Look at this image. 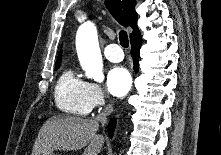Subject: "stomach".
<instances>
[{"mask_svg": "<svg viewBox=\"0 0 221 155\" xmlns=\"http://www.w3.org/2000/svg\"><path fill=\"white\" fill-rule=\"evenodd\" d=\"M50 155H58V154L51 153Z\"/></svg>", "mask_w": 221, "mask_h": 155, "instance_id": "obj_1", "label": "stomach"}]
</instances>
